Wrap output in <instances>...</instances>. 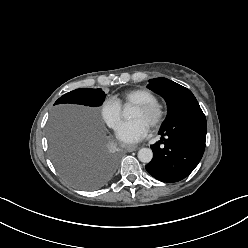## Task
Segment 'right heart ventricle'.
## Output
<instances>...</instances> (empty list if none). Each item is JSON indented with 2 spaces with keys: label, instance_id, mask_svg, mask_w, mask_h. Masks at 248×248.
<instances>
[{
  "label": "right heart ventricle",
  "instance_id": "1",
  "mask_svg": "<svg viewBox=\"0 0 248 248\" xmlns=\"http://www.w3.org/2000/svg\"><path fill=\"white\" fill-rule=\"evenodd\" d=\"M120 106L128 105V104H138L142 102H146L149 100L156 99L155 94L146 88H134L124 92L120 96H116L113 98Z\"/></svg>",
  "mask_w": 248,
  "mask_h": 248
}]
</instances>
